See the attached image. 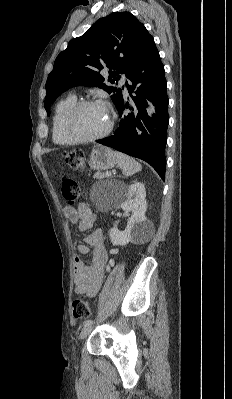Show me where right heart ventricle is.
<instances>
[{"label":"right heart ventricle","instance_id":"e07e8e85","mask_svg":"<svg viewBox=\"0 0 232 399\" xmlns=\"http://www.w3.org/2000/svg\"><path fill=\"white\" fill-rule=\"evenodd\" d=\"M77 102L75 96H69L58 102L53 110L51 121L52 140L56 145L72 147L77 143L68 137L64 130V118L68 110Z\"/></svg>","mask_w":232,"mask_h":399}]
</instances>
